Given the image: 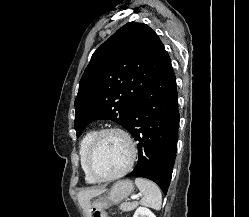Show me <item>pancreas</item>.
Listing matches in <instances>:
<instances>
[{"label":"pancreas","mask_w":249,"mask_h":217,"mask_svg":"<svg viewBox=\"0 0 249 217\" xmlns=\"http://www.w3.org/2000/svg\"><path fill=\"white\" fill-rule=\"evenodd\" d=\"M138 206V202H132V203H129V202H124L120 205V209L123 211V212H129V211H132L134 210L136 207Z\"/></svg>","instance_id":"pancreas-1"}]
</instances>
